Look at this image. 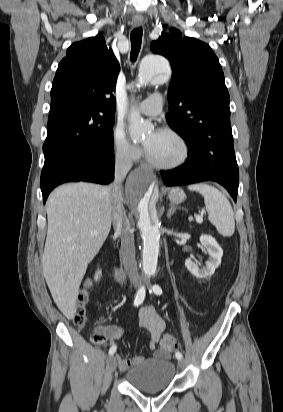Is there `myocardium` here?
<instances>
[{
    "label": "myocardium",
    "instance_id": "obj_1",
    "mask_svg": "<svg viewBox=\"0 0 283 412\" xmlns=\"http://www.w3.org/2000/svg\"><path fill=\"white\" fill-rule=\"evenodd\" d=\"M159 131L167 133V134L173 136L175 139H177V141L180 143V145L182 147V155H181L180 159L177 160L174 163L161 164V163H158V162L154 161L151 158V156L149 155V153H148V151L145 147L144 148V153H145L146 161L152 167L157 168V169H161V170H174V169L180 168L181 166H183L187 162V160L189 159V156H190V148H189L188 142L186 141V139L178 131H176L172 128L164 127V128H161Z\"/></svg>",
    "mask_w": 283,
    "mask_h": 412
}]
</instances>
